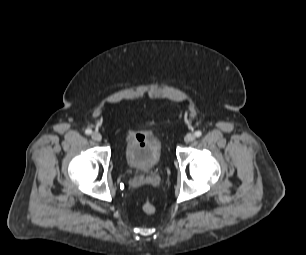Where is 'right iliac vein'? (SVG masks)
Returning a JSON list of instances; mask_svg holds the SVG:
<instances>
[{"label": "right iliac vein", "mask_w": 306, "mask_h": 255, "mask_svg": "<svg viewBox=\"0 0 306 255\" xmlns=\"http://www.w3.org/2000/svg\"><path fill=\"white\" fill-rule=\"evenodd\" d=\"M91 137H92L93 140H95L97 142H100L102 140L101 134L97 131L93 132Z\"/></svg>", "instance_id": "right-iliac-vein-1"}]
</instances>
